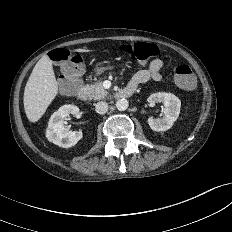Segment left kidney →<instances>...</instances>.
Returning a JSON list of instances; mask_svg holds the SVG:
<instances>
[{
  "instance_id": "1",
  "label": "left kidney",
  "mask_w": 232,
  "mask_h": 232,
  "mask_svg": "<svg viewBox=\"0 0 232 232\" xmlns=\"http://www.w3.org/2000/svg\"><path fill=\"white\" fill-rule=\"evenodd\" d=\"M148 102H162L164 105V116L162 118L153 119L150 117L148 119L150 128L154 131H166L170 129L179 116L181 108L180 99L171 93L158 92L150 95Z\"/></svg>"
}]
</instances>
